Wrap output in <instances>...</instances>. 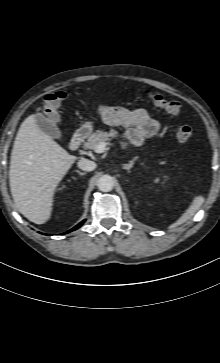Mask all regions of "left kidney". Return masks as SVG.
<instances>
[{"label":"left kidney","mask_w":220,"mask_h":363,"mask_svg":"<svg viewBox=\"0 0 220 363\" xmlns=\"http://www.w3.org/2000/svg\"><path fill=\"white\" fill-rule=\"evenodd\" d=\"M155 182H156V183H158V182H159V179H158V178H157V179H155Z\"/></svg>","instance_id":"5707ae66"}]
</instances>
